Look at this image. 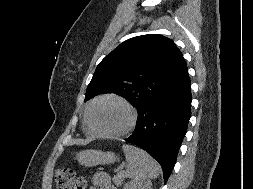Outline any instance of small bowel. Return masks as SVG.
Here are the masks:
<instances>
[{
  "instance_id": "1",
  "label": "small bowel",
  "mask_w": 253,
  "mask_h": 189,
  "mask_svg": "<svg viewBox=\"0 0 253 189\" xmlns=\"http://www.w3.org/2000/svg\"><path fill=\"white\" fill-rule=\"evenodd\" d=\"M91 189H116L110 180V176L103 171H98L92 176Z\"/></svg>"
}]
</instances>
